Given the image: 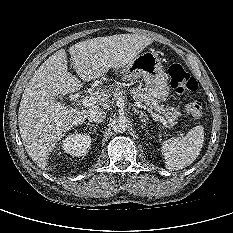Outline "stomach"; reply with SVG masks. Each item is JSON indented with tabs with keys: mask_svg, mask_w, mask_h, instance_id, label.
<instances>
[{
	"mask_svg": "<svg viewBox=\"0 0 233 233\" xmlns=\"http://www.w3.org/2000/svg\"><path fill=\"white\" fill-rule=\"evenodd\" d=\"M118 73L123 80H135L143 77L149 95L158 103L167 99L169 94L168 75L161 60L153 52L138 54L125 68Z\"/></svg>",
	"mask_w": 233,
	"mask_h": 233,
	"instance_id": "1",
	"label": "stomach"
}]
</instances>
